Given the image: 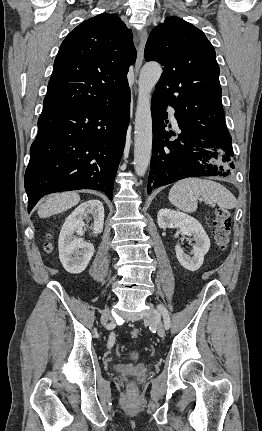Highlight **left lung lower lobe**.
<instances>
[{
    "instance_id": "1",
    "label": "left lung lower lobe",
    "mask_w": 262,
    "mask_h": 431,
    "mask_svg": "<svg viewBox=\"0 0 262 431\" xmlns=\"http://www.w3.org/2000/svg\"><path fill=\"white\" fill-rule=\"evenodd\" d=\"M167 102L153 94L151 112L153 120V146L148 179V194L153 188L188 177L223 176L234 173L232 140L229 132L210 138L183 127L174 141V133L167 132Z\"/></svg>"
}]
</instances>
